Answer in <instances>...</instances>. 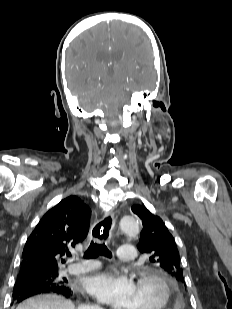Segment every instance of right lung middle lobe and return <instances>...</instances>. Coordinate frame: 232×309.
<instances>
[{
    "instance_id": "1",
    "label": "right lung middle lobe",
    "mask_w": 232,
    "mask_h": 309,
    "mask_svg": "<svg viewBox=\"0 0 232 309\" xmlns=\"http://www.w3.org/2000/svg\"><path fill=\"white\" fill-rule=\"evenodd\" d=\"M21 280H31L40 285L46 286H57L67 283L66 279H61L58 277V270H52L42 273H21L19 272L18 277Z\"/></svg>"
}]
</instances>
